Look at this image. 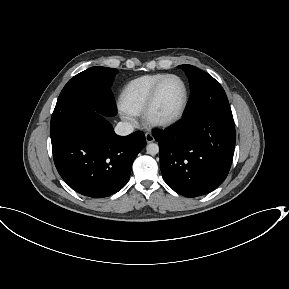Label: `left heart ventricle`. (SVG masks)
Returning a JSON list of instances; mask_svg holds the SVG:
<instances>
[{
    "mask_svg": "<svg viewBox=\"0 0 289 289\" xmlns=\"http://www.w3.org/2000/svg\"><path fill=\"white\" fill-rule=\"evenodd\" d=\"M184 99V87L178 79H169L162 86L154 114L159 118H168L175 115Z\"/></svg>",
    "mask_w": 289,
    "mask_h": 289,
    "instance_id": "left-heart-ventricle-1",
    "label": "left heart ventricle"
}]
</instances>
